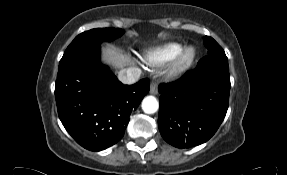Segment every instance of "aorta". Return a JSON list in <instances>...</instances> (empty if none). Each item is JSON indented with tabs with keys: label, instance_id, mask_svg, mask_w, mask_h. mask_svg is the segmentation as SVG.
<instances>
[{
	"label": "aorta",
	"instance_id": "1",
	"mask_svg": "<svg viewBox=\"0 0 287 175\" xmlns=\"http://www.w3.org/2000/svg\"><path fill=\"white\" fill-rule=\"evenodd\" d=\"M159 108V102L154 96H147L142 101V109L147 114L155 113Z\"/></svg>",
	"mask_w": 287,
	"mask_h": 175
}]
</instances>
